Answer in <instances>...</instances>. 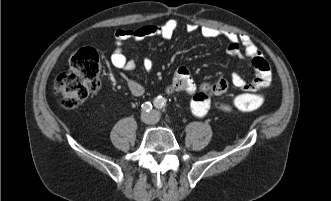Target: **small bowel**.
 <instances>
[{"mask_svg":"<svg viewBox=\"0 0 331 201\" xmlns=\"http://www.w3.org/2000/svg\"><path fill=\"white\" fill-rule=\"evenodd\" d=\"M177 28V22L168 19L161 24L144 25L133 29H118L114 34V49L111 54L112 65L122 71H133L136 68V62L127 58L125 47L128 41H141L147 37L159 36L163 39H170ZM187 32L199 31V33L208 39L224 38L229 41L227 53L238 60H248L255 70V77L251 81H246L239 73L232 75V83L235 87L250 92H257L267 87L271 80V71L267 61L252 42V40L243 34H237L231 31H223L208 26H197L187 24ZM146 71L152 69V62L146 58L143 62ZM126 85L130 93L135 97H140L144 93L143 86L134 79H126ZM227 90V82L224 79H217L211 82L197 84L191 77L186 67H178L167 87L169 93L183 92L190 96V109L196 117H204L212 106L223 112H233L234 108L230 103L214 100L221 96Z\"/></svg>","mask_w":331,"mask_h":201,"instance_id":"c3829d8e","label":"small bowel"}]
</instances>
